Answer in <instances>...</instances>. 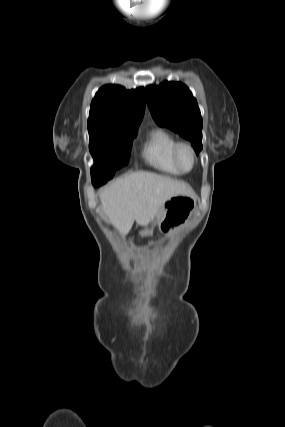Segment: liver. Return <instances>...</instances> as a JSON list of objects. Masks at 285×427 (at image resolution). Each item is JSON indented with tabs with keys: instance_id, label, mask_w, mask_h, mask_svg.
<instances>
[{
	"instance_id": "1",
	"label": "liver",
	"mask_w": 285,
	"mask_h": 427,
	"mask_svg": "<svg viewBox=\"0 0 285 427\" xmlns=\"http://www.w3.org/2000/svg\"><path fill=\"white\" fill-rule=\"evenodd\" d=\"M193 198L194 191L185 183L150 172H135L118 178L100 193L102 211L121 235H126L134 221L146 227L172 197Z\"/></svg>"
}]
</instances>
